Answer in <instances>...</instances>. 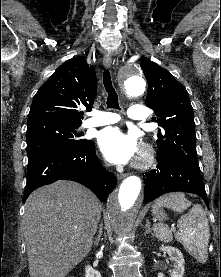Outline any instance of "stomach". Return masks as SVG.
<instances>
[{"instance_id": "obj_1", "label": "stomach", "mask_w": 221, "mask_h": 277, "mask_svg": "<svg viewBox=\"0 0 221 277\" xmlns=\"http://www.w3.org/2000/svg\"><path fill=\"white\" fill-rule=\"evenodd\" d=\"M152 213L155 216V218L160 220V221L166 219L165 212L162 209H160V207H158L156 205L153 206Z\"/></svg>"}]
</instances>
